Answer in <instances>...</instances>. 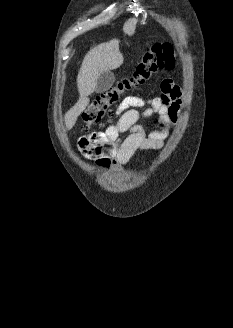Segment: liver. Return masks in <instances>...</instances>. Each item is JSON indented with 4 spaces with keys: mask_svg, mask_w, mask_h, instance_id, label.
I'll return each mask as SVG.
<instances>
[{
    "mask_svg": "<svg viewBox=\"0 0 233 328\" xmlns=\"http://www.w3.org/2000/svg\"><path fill=\"white\" fill-rule=\"evenodd\" d=\"M135 20H131L124 25V32L133 35L135 30ZM124 58L119 50V40L113 39L109 42L101 43L92 48L85 55L77 76V88L79 100L65 114V126L67 130L72 129L78 116L89 104L88 96L91 95L97 85V79L104 71L119 68L123 64Z\"/></svg>",
    "mask_w": 233,
    "mask_h": 328,
    "instance_id": "obj_1",
    "label": "liver"
}]
</instances>
